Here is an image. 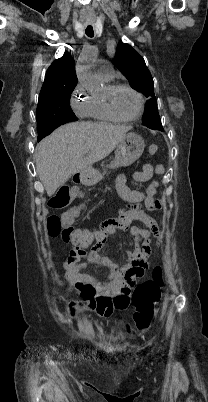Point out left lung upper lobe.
<instances>
[{"label":"left lung upper lobe","mask_w":208,"mask_h":402,"mask_svg":"<svg viewBox=\"0 0 208 402\" xmlns=\"http://www.w3.org/2000/svg\"><path fill=\"white\" fill-rule=\"evenodd\" d=\"M115 66L126 76L132 87L141 91L149 100L143 122L150 129L163 131L154 96L153 79L143 57L129 44L119 42L114 58Z\"/></svg>","instance_id":"1"}]
</instances>
